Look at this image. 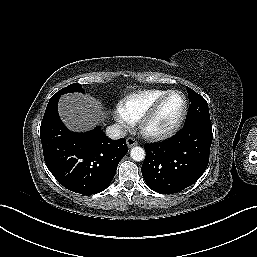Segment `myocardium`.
Here are the masks:
<instances>
[{
  "mask_svg": "<svg viewBox=\"0 0 257 257\" xmlns=\"http://www.w3.org/2000/svg\"><path fill=\"white\" fill-rule=\"evenodd\" d=\"M174 94H179L183 98V110L179 116V118L176 120V122L163 131H155L152 130L150 127V123L155 117V115L158 113V111L161 109V107L164 105V103L168 100L169 97H171ZM188 112V100L186 95L179 91V90H171L164 96H162L159 100H157L148 110L147 112L141 117L139 120V130L141 135L151 141H163L171 138L174 136L181 126L183 125L185 118L187 116Z\"/></svg>",
  "mask_w": 257,
  "mask_h": 257,
  "instance_id": "myocardium-1",
  "label": "myocardium"
}]
</instances>
